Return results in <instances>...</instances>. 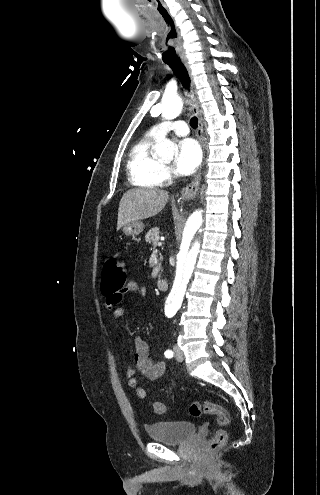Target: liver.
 <instances>
[{"mask_svg":"<svg viewBox=\"0 0 320 495\" xmlns=\"http://www.w3.org/2000/svg\"><path fill=\"white\" fill-rule=\"evenodd\" d=\"M168 192L159 189H132L121 198L118 209L117 230L129 222L147 219L163 210Z\"/></svg>","mask_w":320,"mask_h":495,"instance_id":"6515ba94","label":"liver"}]
</instances>
